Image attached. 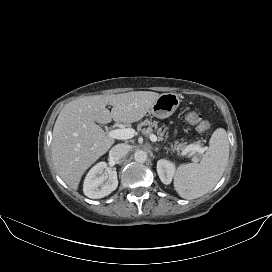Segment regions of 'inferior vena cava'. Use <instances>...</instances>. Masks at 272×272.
Listing matches in <instances>:
<instances>
[{
	"instance_id": "obj_1",
	"label": "inferior vena cava",
	"mask_w": 272,
	"mask_h": 272,
	"mask_svg": "<svg viewBox=\"0 0 272 272\" xmlns=\"http://www.w3.org/2000/svg\"><path fill=\"white\" fill-rule=\"evenodd\" d=\"M130 146L124 143L113 146L109 152V158L111 161H118L126 156L129 152Z\"/></svg>"
}]
</instances>
